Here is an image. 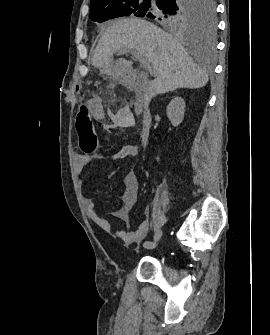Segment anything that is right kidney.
<instances>
[{"label":"right kidney","instance_id":"obj_1","mask_svg":"<svg viewBox=\"0 0 270 335\" xmlns=\"http://www.w3.org/2000/svg\"><path fill=\"white\" fill-rule=\"evenodd\" d=\"M167 116L172 124V126H179L183 122L184 112H185V102L183 98H173L170 104L167 106Z\"/></svg>","mask_w":270,"mask_h":335}]
</instances>
